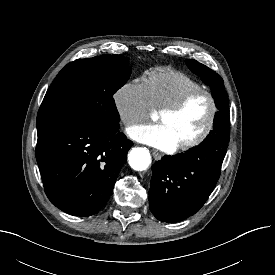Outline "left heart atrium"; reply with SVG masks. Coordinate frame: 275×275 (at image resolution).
<instances>
[{
	"instance_id": "39dd6f15",
	"label": "left heart atrium",
	"mask_w": 275,
	"mask_h": 275,
	"mask_svg": "<svg viewBox=\"0 0 275 275\" xmlns=\"http://www.w3.org/2000/svg\"><path fill=\"white\" fill-rule=\"evenodd\" d=\"M128 135L136 141L165 151L173 150L178 145L171 131L162 123L131 127L128 129Z\"/></svg>"
}]
</instances>
